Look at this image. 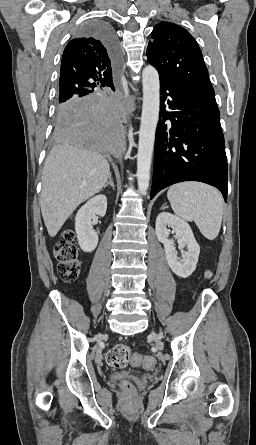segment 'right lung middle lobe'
<instances>
[{"instance_id": "1", "label": "right lung middle lobe", "mask_w": 256, "mask_h": 445, "mask_svg": "<svg viewBox=\"0 0 256 445\" xmlns=\"http://www.w3.org/2000/svg\"><path fill=\"white\" fill-rule=\"evenodd\" d=\"M61 105H62V103H58V104H57V106H61Z\"/></svg>"}]
</instances>
